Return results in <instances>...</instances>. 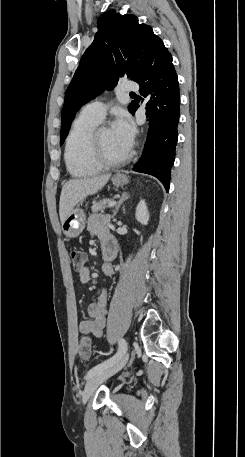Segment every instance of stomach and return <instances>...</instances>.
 Masks as SVG:
<instances>
[{
    "instance_id": "obj_1",
    "label": "stomach",
    "mask_w": 245,
    "mask_h": 457,
    "mask_svg": "<svg viewBox=\"0 0 245 457\" xmlns=\"http://www.w3.org/2000/svg\"><path fill=\"white\" fill-rule=\"evenodd\" d=\"M112 182L115 186H123V184H127L128 178L126 174L117 170L116 174L112 176ZM85 222L86 214L84 210H82V208H73L68 216H66L64 222H62V231L65 237H67V239H75V237H78L83 229H85Z\"/></svg>"
}]
</instances>
